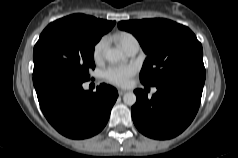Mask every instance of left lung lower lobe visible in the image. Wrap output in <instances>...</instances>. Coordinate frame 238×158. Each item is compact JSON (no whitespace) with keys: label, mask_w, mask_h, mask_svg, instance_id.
<instances>
[{"label":"left lung lower lobe","mask_w":238,"mask_h":158,"mask_svg":"<svg viewBox=\"0 0 238 158\" xmlns=\"http://www.w3.org/2000/svg\"><path fill=\"white\" fill-rule=\"evenodd\" d=\"M205 70H190L156 84L157 92L147 98L135 90L137 102L131 109L137 129L150 138L170 139L183 132L200 106Z\"/></svg>","instance_id":"0a47b994"}]
</instances>
